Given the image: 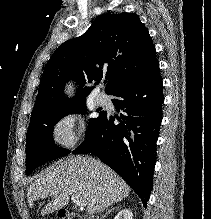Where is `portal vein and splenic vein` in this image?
Listing matches in <instances>:
<instances>
[{"label":"portal vein and splenic vein","instance_id":"18ae733b","mask_svg":"<svg viewBox=\"0 0 211 219\" xmlns=\"http://www.w3.org/2000/svg\"><path fill=\"white\" fill-rule=\"evenodd\" d=\"M71 200L73 203H75L77 206H84L83 200L78 195H72Z\"/></svg>","mask_w":211,"mask_h":219}]
</instances>
